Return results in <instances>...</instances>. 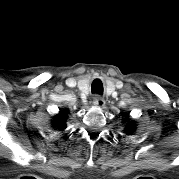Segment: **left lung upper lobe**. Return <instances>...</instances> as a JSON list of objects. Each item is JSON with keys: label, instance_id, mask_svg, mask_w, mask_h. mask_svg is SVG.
<instances>
[{"label": "left lung upper lobe", "instance_id": "5c2ea615", "mask_svg": "<svg viewBox=\"0 0 179 179\" xmlns=\"http://www.w3.org/2000/svg\"><path fill=\"white\" fill-rule=\"evenodd\" d=\"M135 125L133 123H130L128 127L126 128L127 133H132L134 131Z\"/></svg>", "mask_w": 179, "mask_h": 179}]
</instances>
